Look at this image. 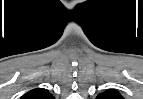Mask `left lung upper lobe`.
<instances>
[{"label": "left lung upper lobe", "instance_id": "5c2ea615", "mask_svg": "<svg viewBox=\"0 0 143 99\" xmlns=\"http://www.w3.org/2000/svg\"><path fill=\"white\" fill-rule=\"evenodd\" d=\"M97 99H122V96L116 90H107L100 93Z\"/></svg>", "mask_w": 143, "mask_h": 99}]
</instances>
